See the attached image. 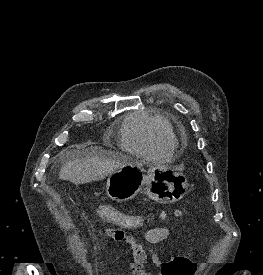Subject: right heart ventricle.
<instances>
[{
	"label": "right heart ventricle",
	"mask_w": 263,
	"mask_h": 275,
	"mask_svg": "<svg viewBox=\"0 0 263 275\" xmlns=\"http://www.w3.org/2000/svg\"><path fill=\"white\" fill-rule=\"evenodd\" d=\"M173 131L170 124L153 112L129 115L123 122L120 146L140 156L165 157L173 152Z\"/></svg>",
	"instance_id": "e07e8e85"
}]
</instances>
